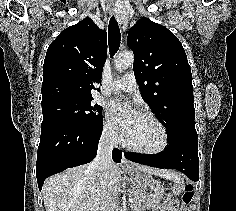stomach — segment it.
I'll use <instances>...</instances> for the list:
<instances>
[{
	"instance_id": "0dacf381",
	"label": "stomach",
	"mask_w": 236,
	"mask_h": 211,
	"mask_svg": "<svg viewBox=\"0 0 236 211\" xmlns=\"http://www.w3.org/2000/svg\"><path fill=\"white\" fill-rule=\"evenodd\" d=\"M137 168V166H136ZM138 169V168H137ZM134 180L144 209L156 208L164 194V187L149 174H141L136 169L128 170Z\"/></svg>"
}]
</instances>
